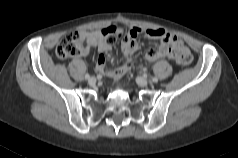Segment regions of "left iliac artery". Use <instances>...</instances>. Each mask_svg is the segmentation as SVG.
I'll return each instance as SVG.
<instances>
[{
  "mask_svg": "<svg viewBox=\"0 0 238 158\" xmlns=\"http://www.w3.org/2000/svg\"><path fill=\"white\" fill-rule=\"evenodd\" d=\"M152 81H153V82H157L158 79H157L156 77H153V78H152Z\"/></svg>",
  "mask_w": 238,
  "mask_h": 158,
  "instance_id": "44dca946",
  "label": "left iliac artery"
}]
</instances>
